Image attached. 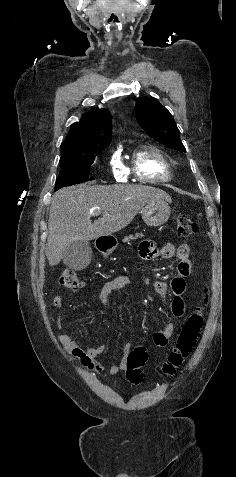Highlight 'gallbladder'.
<instances>
[{
	"label": "gallbladder",
	"instance_id": "bac80fb5",
	"mask_svg": "<svg viewBox=\"0 0 236 477\" xmlns=\"http://www.w3.org/2000/svg\"><path fill=\"white\" fill-rule=\"evenodd\" d=\"M92 258V249L88 241H74L64 250L63 262L74 271L85 269Z\"/></svg>",
	"mask_w": 236,
	"mask_h": 477
}]
</instances>
